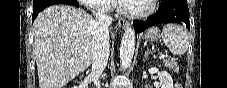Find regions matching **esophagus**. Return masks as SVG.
<instances>
[{"mask_svg":"<svg viewBox=\"0 0 227 88\" xmlns=\"http://www.w3.org/2000/svg\"><path fill=\"white\" fill-rule=\"evenodd\" d=\"M118 25H119L120 28L126 29V28L129 27V22L125 19H119Z\"/></svg>","mask_w":227,"mask_h":88,"instance_id":"34e87169","label":"esophagus"}]
</instances>
